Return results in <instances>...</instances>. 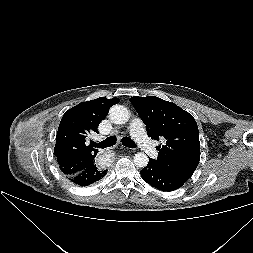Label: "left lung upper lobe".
I'll return each mask as SVG.
<instances>
[{
  "mask_svg": "<svg viewBox=\"0 0 253 253\" xmlns=\"http://www.w3.org/2000/svg\"><path fill=\"white\" fill-rule=\"evenodd\" d=\"M130 102L146 124L148 136L166 140L164 145L157 147V159L152 160L186 182L200 160L199 131L195 119L176 104L156 96H134Z\"/></svg>",
  "mask_w": 253,
  "mask_h": 253,
  "instance_id": "left-lung-upper-lobe-1",
  "label": "left lung upper lobe"
}]
</instances>
